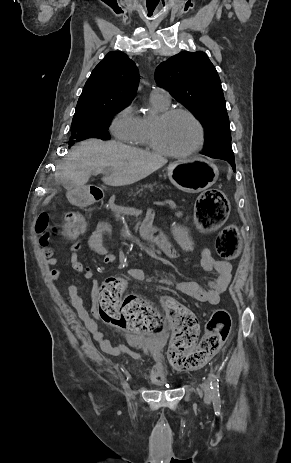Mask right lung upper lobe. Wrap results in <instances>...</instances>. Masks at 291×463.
Returning <instances> with one entry per match:
<instances>
[{
    "instance_id": "1",
    "label": "right lung upper lobe",
    "mask_w": 291,
    "mask_h": 463,
    "mask_svg": "<svg viewBox=\"0 0 291 463\" xmlns=\"http://www.w3.org/2000/svg\"><path fill=\"white\" fill-rule=\"evenodd\" d=\"M138 83L135 63L123 52H109L85 83L74 115L94 111L109 101L131 103Z\"/></svg>"
}]
</instances>
